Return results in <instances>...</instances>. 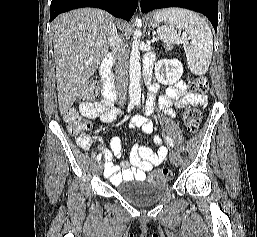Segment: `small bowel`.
Returning <instances> with one entry per match:
<instances>
[{
	"instance_id": "obj_1",
	"label": "small bowel",
	"mask_w": 257,
	"mask_h": 237,
	"mask_svg": "<svg viewBox=\"0 0 257 237\" xmlns=\"http://www.w3.org/2000/svg\"><path fill=\"white\" fill-rule=\"evenodd\" d=\"M150 68L151 65L148 63L146 65V71L149 74ZM157 89V85L151 86V92H155ZM205 104L206 97L188 92L183 81H179L174 86L168 87L165 94L159 98V106L169 114H171L172 106L182 108L186 105L204 106ZM152 109L153 97L150 96L146 105V116L152 112ZM80 111L85 117L90 119L99 118L104 123L114 121L120 114V111L112 107V102L106 98L95 102H82L80 104ZM131 123L132 125L142 127L145 133H151L154 129L153 124L143 116L134 117ZM92 142V137L87 135L80 136L77 139V143L83 149H88ZM156 143L159 144L160 140L156 139ZM104 154L106 159L104 175L111 183L117 185L125 180H144L146 173L165 159L167 148L160 146L157 151H153L149 147L136 143L129 154V159L118 166L112 162L114 156L119 157L121 155V143L120 140L115 137L110 142V150H105Z\"/></svg>"
}]
</instances>
